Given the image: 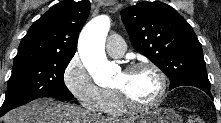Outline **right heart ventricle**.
Listing matches in <instances>:
<instances>
[{
	"label": "right heart ventricle",
	"instance_id": "right-heart-ventricle-1",
	"mask_svg": "<svg viewBox=\"0 0 221 123\" xmlns=\"http://www.w3.org/2000/svg\"><path fill=\"white\" fill-rule=\"evenodd\" d=\"M105 91L106 97L102 112L112 117H119L125 115L127 113V110L122 106L113 90Z\"/></svg>",
	"mask_w": 221,
	"mask_h": 123
}]
</instances>
